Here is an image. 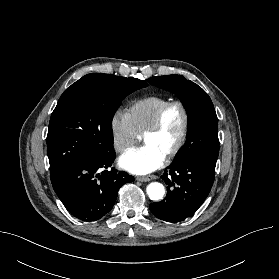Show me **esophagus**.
<instances>
[{
  "label": "esophagus",
  "instance_id": "1",
  "mask_svg": "<svg viewBox=\"0 0 279 279\" xmlns=\"http://www.w3.org/2000/svg\"><path fill=\"white\" fill-rule=\"evenodd\" d=\"M152 179H155L154 175H149V176H144V177H136V180L141 181V182H147V181H150Z\"/></svg>",
  "mask_w": 279,
  "mask_h": 279
}]
</instances>
